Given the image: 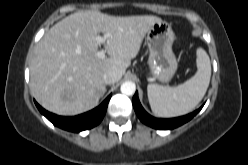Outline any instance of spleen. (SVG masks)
<instances>
[{
  "instance_id": "1",
  "label": "spleen",
  "mask_w": 248,
  "mask_h": 165,
  "mask_svg": "<svg viewBox=\"0 0 248 165\" xmlns=\"http://www.w3.org/2000/svg\"><path fill=\"white\" fill-rule=\"evenodd\" d=\"M197 72L177 87L157 84L147 86L148 100L152 112L158 117H176L189 113L203 99L210 83L211 64L206 51H196Z\"/></svg>"
}]
</instances>
